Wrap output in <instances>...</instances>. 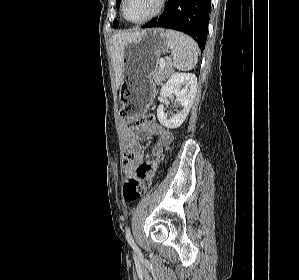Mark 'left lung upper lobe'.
I'll use <instances>...</instances> for the list:
<instances>
[{"label":"left lung upper lobe","mask_w":299,"mask_h":280,"mask_svg":"<svg viewBox=\"0 0 299 280\" xmlns=\"http://www.w3.org/2000/svg\"><path fill=\"white\" fill-rule=\"evenodd\" d=\"M116 2H117V8H118L121 0H116ZM118 25H119V22L115 19L113 22V27H117Z\"/></svg>","instance_id":"obj_1"}]
</instances>
